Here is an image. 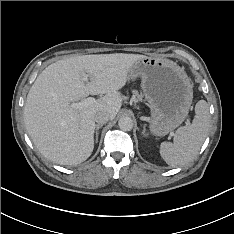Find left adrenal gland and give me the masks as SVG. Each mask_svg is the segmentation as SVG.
<instances>
[{"label": "left adrenal gland", "mask_w": 234, "mask_h": 234, "mask_svg": "<svg viewBox=\"0 0 234 234\" xmlns=\"http://www.w3.org/2000/svg\"><path fill=\"white\" fill-rule=\"evenodd\" d=\"M145 131H146V129H145V126L143 127V131H142V134L144 135V136H147V134L145 133Z\"/></svg>", "instance_id": "obj_1"}]
</instances>
